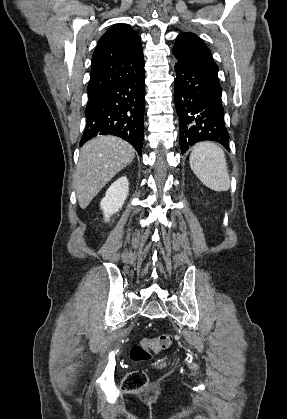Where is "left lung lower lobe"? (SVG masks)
<instances>
[{
	"label": "left lung lower lobe",
	"mask_w": 287,
	"mask_h": 419,
	"mask_svg": "<svg viewBox=\"0 0 287 419\" xmlns=\"http://www.w3.org/2000/svg\"><path fill=\"white\" fill-rule=\"evenodd\" d=\"M174 99L180 128V149L212 140L229 150L218 67L191 68L175 64Z\"/></svg>",
	"instance_id": "1"
}]
</instances>
